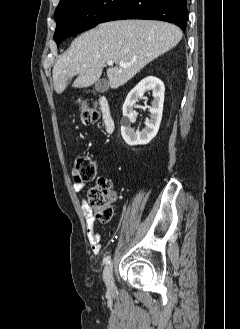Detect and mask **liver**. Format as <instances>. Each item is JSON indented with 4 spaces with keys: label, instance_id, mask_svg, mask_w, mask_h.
I'll return each mask as SVG.
<instances>
[{
    "label": "liver",
    "instance_id": "liver-1",
    "mask_svg": "<svg viewBox=\"0 0 240 329\" xmlns=\"http://www.w3.org/2000/svg\"><path fill=\"white\" fill-rule=\"evenodd\" d=\"M181 30L170 23L149 20H122L99 24L78 36L53 68L54 89L61 94L78 75L73 87H89L99 80L107 61L109 85L116 89L143 67L175 47ZM120 63L129 64L121 68Z\"/></svg>",
    "mask_w": 240,
    "mask_h": 329
}]
</instances>
